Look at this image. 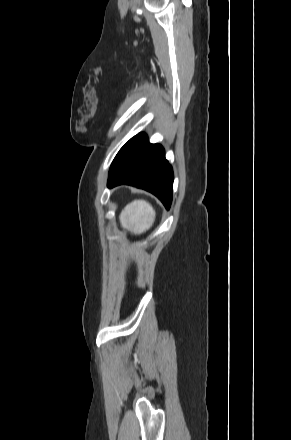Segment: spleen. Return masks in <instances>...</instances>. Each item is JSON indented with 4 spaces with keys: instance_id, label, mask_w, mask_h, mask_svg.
Instances as JSON below:
<instances>
[{
    "instance_id": "obj_1",
    "label": "spleen",
    "mask_w": 291,
    "mask_h": 440,
    "mask_svg": "<svg viewBox=\"0 0 291 440\" xmlns=\"http://www.w3.org/2000/svg\"><path fill=\"white\" fill-rule=\"evenodd\" d=\"M119 220L122 228L138 235L151 228L155 221V211L145 200H134L122 210Z\"/></svg>"
}]
</instances>
